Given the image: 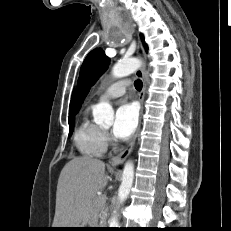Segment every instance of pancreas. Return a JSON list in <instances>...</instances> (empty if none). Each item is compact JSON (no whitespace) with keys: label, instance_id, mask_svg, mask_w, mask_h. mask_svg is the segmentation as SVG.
Masks as SVG:
<instances>
[{"label":"pancreas","instance_id":"cf45deb5","mask_svg":"<svg viewBox=\"0 0 231 231\" xmlns=\"http://www.w3.org/2000/svg\"><path fill=\"white\" fill-rule=\"evenodd\" d=\"M100 197H96L94 200V207L97 212V216L100 218L101 222L104 221V205L99 201Z\"/></svg>","mask_w":231,"mask_h":231}]
</instances>
